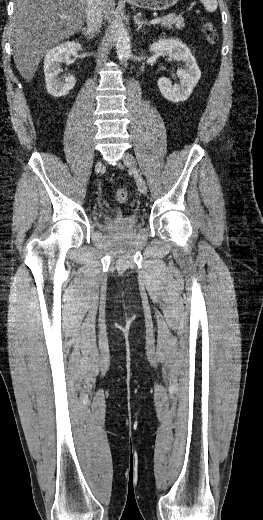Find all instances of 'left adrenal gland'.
I'll return each instance as SVG.
<instances>
[{"mask_svg":"<svg viewBox=\"0 0 263 520\" xmlns=\"http://www.w3.org/2000/svg\"><path fill=\"white\" fill-rule=\"evenodd\" d=\"M134 23L137 26V31H139L145 25L150 26V24L147 21H142L139 17H134Z\"/></svg>","mask_w":263,"mask_h":520,"instance_id":"left-adrenal-gland-1","label":"left adrenal gland"}]
</instances>
